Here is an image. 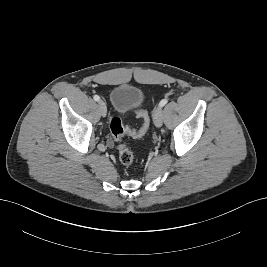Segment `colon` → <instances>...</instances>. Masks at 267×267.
Listing matches in <instances>:
<instances>
[{
    "instance_id": "obj_1",
    "label": "colon",
    "mask_w": 267,
    "mask_h": 267,
    "mask_svg": "<svg viewBox=\"0 0 267 267\" xmlns=\"http://www.w3.org/2000/svg\"><path fill=\"white\" fill-rule=\"evenodd\" d=\"M136 114L142 121L138 129L125 127L119 117H113L109 122L110 133L114 141L117 143L119 160L125 166L132 165L134 161V153L128 146L121 143L122 138L126 135L132 138H141L147 133L150 126V118L147 111L138 109Z\"/></svg>"
}]
</instances>
